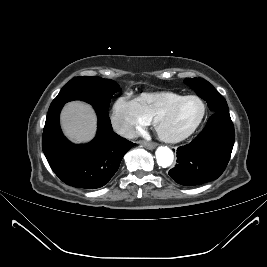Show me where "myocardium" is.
Segmentation results:
<instances>
[{"instance_id": "f54148a6", "label": "myocardium", "mask_w": 267, "mask_h": 267, "mask_svg": "<svg viewBox=\"0 0 267 267\" xmlns=\"http://www.w3.org/2000/svg\"><path fill=\"white\" fill-rule=\"evenodd\" d=\"M198 100L201 105H202V113L201 116L199 117V119L196 121V123L186 132L180 134V135H168L166 133H164L161 130V123L164 119L168 118L170 115H172L183 103H185L188 100ZM207 113V105L205 103V101L197 96V95H187L184 96L182 99L178 100L177 102H175L174 104H172L171 106H169L167 109L163 110L162 112H160L153 120V125L154 128L158 134V136L160 137L161 140L167 142V143H178L181 141L186 140L187 138H189L192 134L195 133V131L200 127V125L202 124V122L205 119Z\"/></svg>"}]
</instances>
